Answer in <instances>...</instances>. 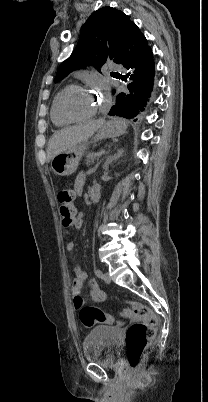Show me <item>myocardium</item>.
<instances>
[{"label": "myocardium", "mask_w": 208, "mask_h": 402, "mask_svg": "<svg viewBox=\"0 0 208 402\" xmlns=\"http://www.w3.org/2000/svg\"><path fill=\"white\" fill-rule=\"evenodd\" d=\"M86 87L83 85H71L68 86L61 94L60 100H59V106H60V110L63 113L64 116H66L67 118L71 119V120H78V121H83V120H87L90 119L91 117H93L98 110L100 109L101 105L103 102H106L107 100L105 98L100 99L99 103L97 106H95L90 112L88 113H74L71 110H69L66 100L67 97L70 93L76 91V90H85Z\"/></svg>", "instance_id": "obj_1"}]
</instances>
